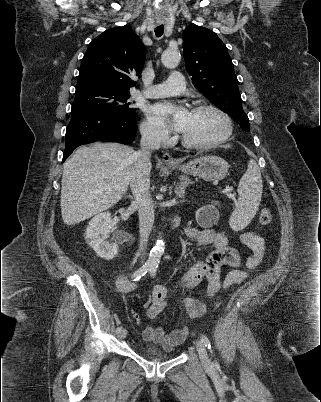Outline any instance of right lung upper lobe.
Masks as SVG:
<instances>
[{
	"instance_id": "obj_1",
	"label": "right lung upper lobe",
	"mask_w": 321,
	"mask_h": 402,
	"mask_svg": "<svg viewBox=\"0 0 321 402\" xmlns=\"http://www.w3.org/2000/svg\"><path fill=\"white\" fill-rule=\"evenodd\" d=\"M144 61L145 47L130 26L106 30L89 44L77 85L101 84L129 91L135 85L130 76L140 77Z\"/></svg>"
}]
</instances>
